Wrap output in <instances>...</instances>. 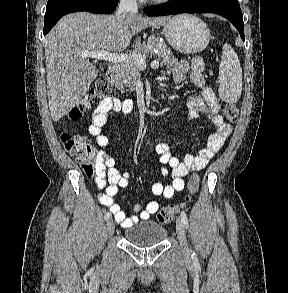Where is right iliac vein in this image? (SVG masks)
I'll return each mask as SVG.
<instances>
[{"mask_svg": "<svg viewBox=\"0 0 288 293\" xmlns=\"http://www.w3.org/2000/svg\"><path fill=\"white\" fill-rule=\"evenodd\" d=\"M115 225L112 219H108L107 221V232L111 236L114 233Z\"/></svg>", "mask_w": 288, "mask_h": 293, "instance_id": "63e3f726", "label": "right iliac vein"}]
</instances>
